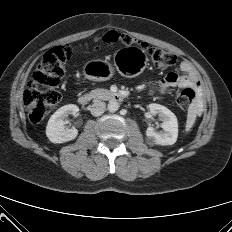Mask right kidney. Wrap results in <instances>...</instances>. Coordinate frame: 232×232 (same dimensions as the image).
<instances>
[{
  "instance_id": "ca27d5eb",
  "label": "right kidney",
  "mask_w": 232,
  "mask_h": 232,
  "mask_svg": "<svg viewBox=\"0 0 232 232\" xmlns=\"http://www.w3.org/2000/svg\"><path fill=\"white\" fill-rule=\"evenodd\" d=\"M79 107L74 104L65 105L59 108L49 119L46 127V135L52 143H64L75 139L78 130L75 127L68 129L65 127L64 119L69 114L76 115Z\"/></svg>"
}]
</instances>
